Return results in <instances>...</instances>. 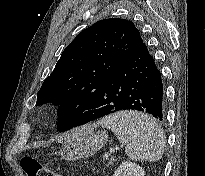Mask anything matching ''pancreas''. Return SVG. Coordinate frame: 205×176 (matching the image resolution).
Wrapping results in <instances>:
<instances>
[{
	"mask_svg": "<svg viewBox=\"0 0 205 176\" xmlns=\"http://www.w3.org/2000/svg\"><path fill=\"white\" fill-rule=\"evenodd\" d=\"M106 160H108V164L106 165L108 167L109 165H113L115 158L112 156H109L108 158H106Z\"/></svg>",
	"mask_w": 205,
	"mask_h": 176,
	"instance_id": "obj_1",
	"label": "pancreas"
}]
</instances>
